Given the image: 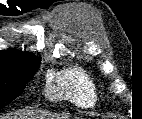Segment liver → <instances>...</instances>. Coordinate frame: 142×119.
I'll return each instance as SVG.
<instances>
[{"label": "liver", "mask_w": 142, "mask_h": 119, "mask_svg": "<svg viewBox=\"0 0 142 119\" xmlns=\"http://www.w3.org/2000/svg\"><path fill=\"white\" fill-rule=\"evenodd\" d=\"M25 119H62V118H68V115L60 116V115H55L52 113H35L33 111H28L25 113L23 116H21ZM0 119H10L9 117H0Z\"/></svg>", "instance_id": "6515ba94"}]
</instances>
